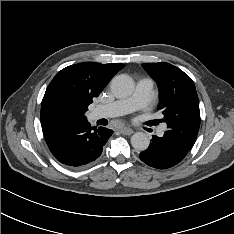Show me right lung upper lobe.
<instances>
[{"instance_id": "obj_1", "label": "right lung upper lobe", "mask_w": 234, "mask_h": 234, "mask_svg": "<svg viewBox=\"0 0 234 234\" xmlns=\"http://www.w3.org/2000/svg\"><path fill=\"white\" fill-rule=\"evenodd\" d=\"M125 65L119 63H79L59 71L46 89L42 106L52 101H63L76 112L88 110L110 79Z\"/></svg>"}]
</instances>
